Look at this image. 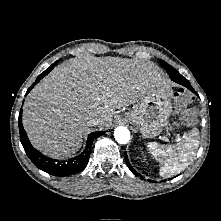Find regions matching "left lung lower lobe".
<instances>
[{"instance_id":"obj_1","label":"left lung lower lobe","mask_w":221,"mask_h":221,"mask_svg":"<svg viewBox=\"0 0 221 221\" xmlns=\"http://www.w3.org/2000/svg\"><path fill=\"white\" fill-rule=\"evenodd\" d=\"M173 81H175L176 83L180 84V85H183L185 86L186 88H188L190 91H192L193 93L197 94L195 92V90L192 88V86L190 85L189 81L184 78L182 75L177 77V78H174L172 79ZM125 160H126V163H127V166L129 167V169L137 176L138 173L133 169V167L131 166V164L129 163L128 161V158H127V154L125 153Z\"/></svg>"}]
</instances>
